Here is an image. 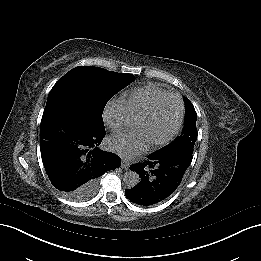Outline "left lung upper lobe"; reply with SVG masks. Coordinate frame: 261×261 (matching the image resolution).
<instances>
[{"label": "left lung upper lobe", "instance_id": "5c2ea615", "mask_svg": "<svg viewBox=\"0 0 261 261\" xmlns=\"http://www.w3.org/2000/svg\"><path fill=\"white\" fill-rule=\"evenodd\" d=\"M186 105L185 125L182 129V135L176 138L171 144L161 149L160 153H182L191 155L193 146L197 139L196 129V111L188 98H184Z\"/></svg>", "mask_w": 261, "mask_h": 261}]
</instances>
